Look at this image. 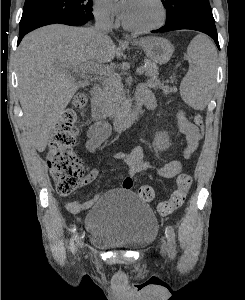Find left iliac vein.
<instances>
[{
  "mask_svg": "<svg viewBox=\"0 0 245 300\" xmlns=\"http://www.w3.org/2000/svg\"><path fill=\"white\" fill-rule=\"evenodd\" d=\"M167 252V243L166 241H163L162 245H161V254L162 256H165Z\"/></svg>",
  "mask_w": 245,
  "mask_h": 300,
  "instance_id": "4c4485c4",
  "label": "left iliac vein"
}]
</instances>
